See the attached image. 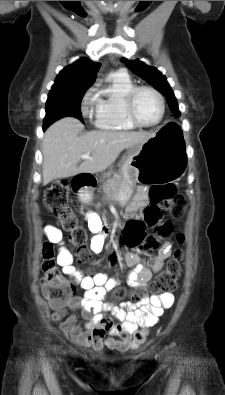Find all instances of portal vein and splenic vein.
<instances>
[{"mask_svg": "<svg viewBox=\"0 0 225 395\" xmlns=\"http://www.w3.org/2000/svg\"><path fill=\"white\" fill-rule=\"evenodd\" d=\"M82 159H91L90 153L83 154L81 156Z\"/></svg>", "mask_w": 225, "mask_h": 395, "instance_id": "1", "label": "portal vein and splenic vein"}]
</instances>
